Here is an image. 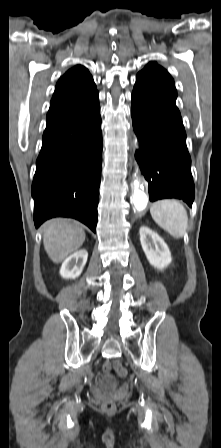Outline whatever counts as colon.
Returning a JSON list of instances; mask_svg holds the SVG:
<instances>
[{
    "mask_svg": "<svg viewBox=\"0 0 221 448\" xmlns=\"http://www.w3.org/2000/svg\"><path fill=\"white\" fill-rule=\"evenodd\" d=\"M102 369L106 374L114 370L122 378H125L128 374L127 370L119 361H107L103 364ZM102 409L105 413L113 414L116 411V404L112 400H106L102 404Z\"/></svg>",
    "mask_w": 221,
    "mask_h": 448,
    "instance_id": "obj_1",
    "label": "colon"
}]
</instances>
